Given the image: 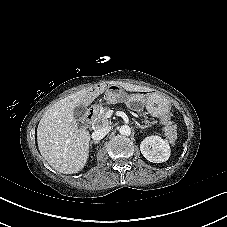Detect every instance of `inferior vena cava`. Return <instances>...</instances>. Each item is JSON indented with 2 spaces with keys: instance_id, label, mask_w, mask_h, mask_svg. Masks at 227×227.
<instances>
[{
  "instance_id": "1",
  "label": "inferior vena cava",
  "mask_w": 227,
  "mask_h": 227,
  "mask_svg": "<svg viewBox=\"0 0 227 227\" xmlns=\"http://www.w3.org/2000/svg\"><path fill=\"white\" fill-rule=\"evenodd\" d=\"M109 131H110V128H108V127L95 130L92 133V139L99 141V140L103 139Z\"/></svg>"
}]
</instances>
